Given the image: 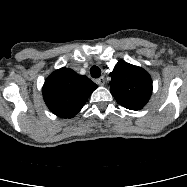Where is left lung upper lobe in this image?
I'll return each instance as SVG.
<instances>
[{"instance_id": "left-lung-upper-lobe-1", "label": "left lung upper lobe", "mask_w": 187, "mask_h": 187, "mask_svg": "<svg viewBox=\"0 0 187 187\" xmlns=\"http://www.w3.org/2000/svg\"><path fill=\"white\" fill-rule=\"evenodd\" d=\"M110 91L116 101L130 110H140L152 94L150 75L141 67L118 61L111 73Z\"/></svg>"}]
</instances>
